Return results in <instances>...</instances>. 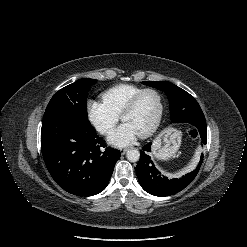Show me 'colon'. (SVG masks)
I'll list each match as a JSON object with an SVG mask.
<instances>
[{
  "mask_svg": "<svg viewBox=\"0 0 247 247\" xmlns=\"http://www.w3.org/2000/svg\"><path fill=\"white\" fill-rule=\"evenodd\" d=\"M189 135H190L191 138H196L198 136V133H197L196 130H191L189 132Z\"/></svg>",
  "mask_w": 247,
  "mask_h": 247,
  "instance_id": "obj_1",
  "label": "colon"
}]
</instances>
